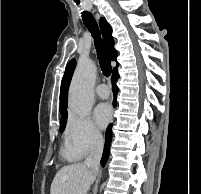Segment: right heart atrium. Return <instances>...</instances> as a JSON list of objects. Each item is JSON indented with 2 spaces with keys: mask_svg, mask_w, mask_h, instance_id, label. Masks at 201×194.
I'll return each mask as SVG.
<instances>
[{
  "mask_svg": "<svg viewBox=\"0 0 201 194\" xmlns=\"http://www.w3.org/2000/svg\"><path fill=\"white\" fill-rule=\"evenodd\" d=\"M103 136L88 117L72 115L65 130V154L70 158H82L101 147Z\"/></svg>",
  "mask_w": 201,
  "mask_h": 194,
  "instance_id": "obj_1",
  "label": "right heart atrium"
}]
</instances>
